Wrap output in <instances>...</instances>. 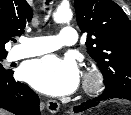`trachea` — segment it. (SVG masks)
Wrapping results in <instances>:
<instances>
[{"label": "trachea", "mask_w": 131, "mask_h": 115, "mask_svg": "<svg viewBox=\"0 0 131 115\" xmlns=\"http://www.w3.org/2000/svg\"><path fill=\"white\" fill-rule=\"evenodd\" d=\"M49 2H50V1H49V0H47L46 4H49Z\"/></svg>", "instance_id": "1"}]
</instances>
